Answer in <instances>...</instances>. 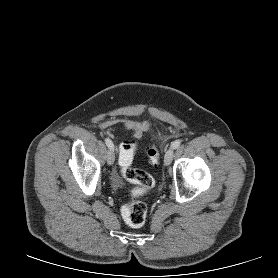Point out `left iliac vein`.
Listing matches in <instances>:
<instances>
[{"label":"left iliac vein","mask_w":278,"mask_h":278,"mask_svg":"<svg viewBox=\"0 0 278 278\" xmlns=\"http://www.w3.org/2000/svg\"><path fill=\"white\" fill-rule=\"evenodd\" d=\"M173 155H174V150H173V148H169V149L166 151L165 156H164V163H165V165L168 166V165L172 162Z\"/></svg>","instance_id":"obj_1"}]
</instances>
